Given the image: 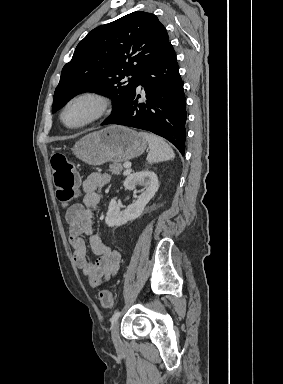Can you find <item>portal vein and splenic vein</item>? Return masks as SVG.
Returning a JSON list of instances; mask_svg holds the SVG:
<instances>
[{"instance_id":"obj_1","label":"portal vein and splenic vein","mask_w":283,"mask_h":384,"mask_svg":"<svg viewBox=\"0 0 283 384\" xmlns=\"http://www.w3.org/2000/svg\"><path fill=\"white\" fill-rule=\"evenodd\" d=\"M124 168H131V162H125V164H123Z\"/></svg>"}]
</instances>
